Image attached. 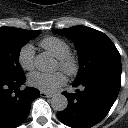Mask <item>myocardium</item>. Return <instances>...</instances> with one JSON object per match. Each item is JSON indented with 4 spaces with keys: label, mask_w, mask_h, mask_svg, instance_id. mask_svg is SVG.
Wrapping results in <instances>:
<instances>
[{
    "label": "myocardium",
    "mask_w": 128,
    "mask_h": 128,
    "mask_svg": "<svg viewBox=\"0 0 128 128\" xmlns=\"http://www.w3.org/2000/svg\"><path fill=\"white\" fill-rule=\"evenodd\" d=\"M58 64L59 68L69 76L76 75L80 67L78 57L71 52H68L65 56L58 58Z\"/></svg>",
    "instance_id": "f54148a6"
}]
</instances>
